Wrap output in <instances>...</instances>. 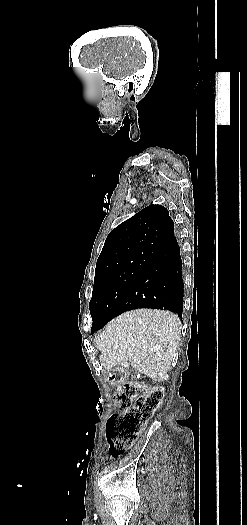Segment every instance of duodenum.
<instances>
[{"label": "duodenum", "instance_id": "obj_1", "mask_svg": "<svg viewBox=\"0 0 247 525\" xmlns=\"http://www.w3.org/2000/svg\"><path fill=\"white\" fill-rule=\"evenodd\" d=\"M120 374H121V373L118 372V371H117V372H114L113 374H111V377H110V378L112 379V381H115V380H117V378L120 376Z\"/></svg>", "mask_w": 247, "mask_h": 525}]
</instances>
